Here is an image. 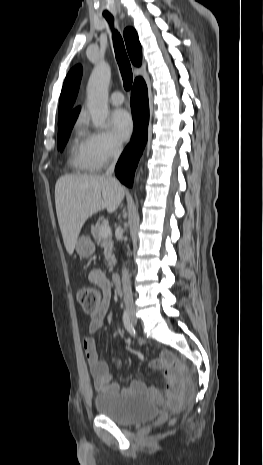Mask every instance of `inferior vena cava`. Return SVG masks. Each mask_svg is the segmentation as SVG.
Instances as JSON below:
<instances>
[{"mask_svg":"<svg viewBox=\"0 0 263 465\" xmlns=\"http://www.w3.org/2000/svg\"><path fill=\"white\" fill-rule=\"evenodd\" d=\"M122 150V144L121 143H116L112 152L113 156V162L111 165L107 168L104 177L108 178L110 181H112L116 185H120L119 181L113 176L114 169H115V164L119 158V155ZM122 287H123V299H124V304L126 308L133 309L134 308V303H133V296H132V289H131V283H130V276L128 274V271L126 268L122 269Z\"/></svg>","mask_w":263,"mask_h":465,"instance_id":"obj_1","label":"inferior vena cava"}]
</instances>
